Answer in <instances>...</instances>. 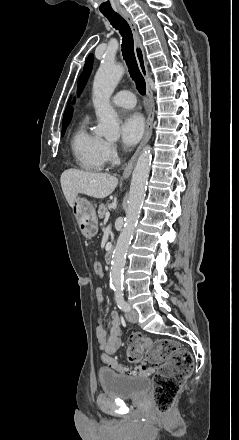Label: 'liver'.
<instances>
[{"label": "liver", "instance_id": "obj_1", "mask_svg": "<svg viewBox=\"0 0 239 440\" xmlns=\"http://www.w3.org/2000/svg\"><path fill=\"white\" fill-rule=\"evenodd\" d=\"M60 182L62 192L71 208L78 194H86L91 198H107L118 184L117 178L110 174H93L81 170H65Z\"/></svg>", "mask_w": 239, "mask_h": 440}]
</instances>
